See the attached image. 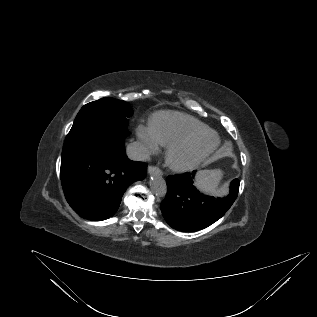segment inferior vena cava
Wrapping results in <instances>:
<instances>
[{
  "instance_id": "inferior-vena-cava-1",
  "label": "inferior vena cava",
  "mask_w": 317,
  "mask_h": 317,
  "mask_svg": "<svg viewBox=\"0 0 317 317\" xmlns=\"http://www.w3.org/2000/svg\"><path fill=\"white\" fill-rule=\"evenodd\" d=\"M127 156L135 161H148L150 153L147 148L140 142L130 143L126 148Z\"/></svg>"
}]
</instances>
